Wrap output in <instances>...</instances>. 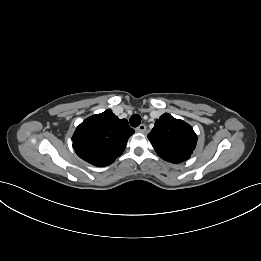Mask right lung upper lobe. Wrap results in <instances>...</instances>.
<instances>
[{"mask_svg": "<svg viewBox=\"0 0 261 261\" xmlns=\"http://www.w3.org/2000/svg\"><path fill=\"white\" fill-rule=\"evenodd\" d=\"M133 133L126 119H119L108 109L85 119L76 128L72 137L73 148L81 159L104 167L123 153Z\"/></svg>", "mask_w": 261, "mask_h": 261, "instance_id": "1", "label": "right lung upper lobe"}]
</instances>
